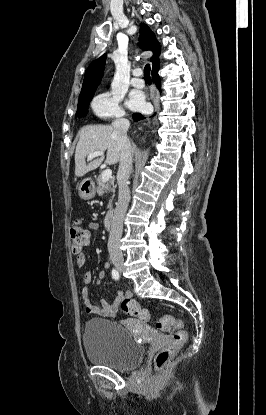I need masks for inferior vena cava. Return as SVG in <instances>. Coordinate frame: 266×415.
Segmentation results:
<instances>
[{
  "instance_id": "602c4592",
  "label": "inferior vena cava",
  "mask_w": 266,
  "mask_h": 415,
  "mask_svg": "<svg viewBox=\"0 0 266 415\" xmlns=\"http://www.w3.org/2000/svg\"><path fill=\"white\" fill-rule=\"evenodd\" d=\"M112 126L117 144L120 149V164L117 173L118 181V202L114 211L111 230L108 240V252L110 258L122 257L120 249V240L123 232V221L130 201V190L128 187V179L132 170L133 148L127 137V131L130 126L128 119L123 117L117 118Z\"/></svg>"
}]
</instances>
